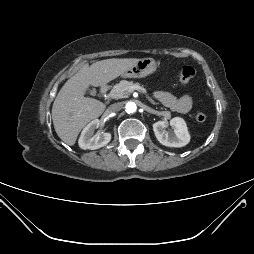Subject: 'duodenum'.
I'll use <instances>...</instances> for the list:
<instances>
[{
    "mask_svg": "<svg viewBox=\"0 0 254 254\" xmlns=\"http://www.w3.org/2000/svg\"><path fill=\"white\" fill-rule=\"evenodd\" d=\"M105 91H106V88H105V87H102L101 90H100V93H101V94H104Z\"/></svg>",
    "mask_w": 254,
    "mask_h": 254,
    "instance_id": "410a0bca",
    "label": "duodenum"
}]
</instances>
